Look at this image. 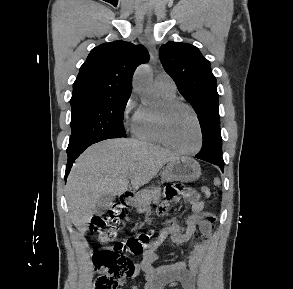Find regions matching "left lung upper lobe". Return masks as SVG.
<instances>
[{"mask_svg": "<svg viewBox=\"0 0 293 289\" xmlns=\"http://www.w3.org/2000/svg\"><path fill=\"white\" fill-rule=\"evenodd\" d=\"M159 56L163 68L197 113L201 130L220 127L216 78L199 49L188 43L168 42L160 47ZM212 158L222 159V151Z\"/></svg>", "mask_w": 293, "mask_h": 289, "instance_id": "obj_1", "label": "left lung upper lobe"}]
</instances>
